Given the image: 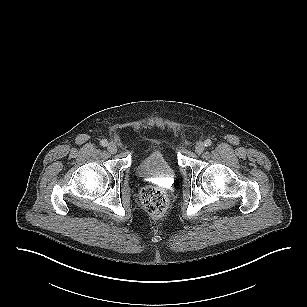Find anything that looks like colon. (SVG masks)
<instances>
[{
    "label": "colon",
    "mask_w": 307,
    "mask_h": 307,
    "mask_svg": "<svg viewBox=\"0 0 307 307\" xmlns=\"http://www.w3.org/2000/svg\"><path fill=\"white\" fill-rule=\"evenodd\" d=\"M140 200L144 209L152 216H162L167 209V196L159 187H145L140 193Z\"/></svg>",
    "instance_id": "obj_1"
}]
</instances>
